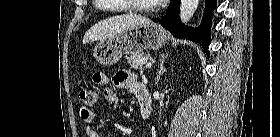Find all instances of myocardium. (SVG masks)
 <instances>
[{
    "label": "myocardium",
    "mask_w": 280,
    "mask_h": 137,
    "mask_svg": "<svg viewBox=\"0 0 280 137\" xmlns=\"http://www.w3.org/2000/svg\"><path fill=\"white\" fill-rule=\"evenodd\" d=\"M130 4H129V7L130 9L134 10V11H140V12H146V13H150V12H154L157 10V5H152V6H147V7H144V6H141V5H138V4H134V0H127Z\"/></svg>",
    "instance_id": "f54148a6"
}]
</instances>
